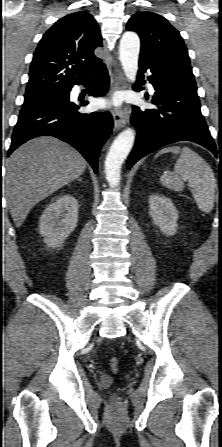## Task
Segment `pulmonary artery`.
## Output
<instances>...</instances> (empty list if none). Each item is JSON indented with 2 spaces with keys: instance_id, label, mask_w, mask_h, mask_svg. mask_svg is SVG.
I'll return each mask as SVG.
<instances>
[{
  "instance_id": "e3ab8cb5",
  "label": "pulmonary artery",
  "mask_w": 222,
  "mask_h": 447,
  "mask_svg": "<svg viewBox=\"0 0 222 447\" xmlns=\"http://www.w3.org/2000/svg\"><path fill=\"white\" fill-rule=\"evenodd\" d=\"M149 90H150L151 92L154 91L153 86H152L151 84H149Z\"/></svg>"
}]
</instances>
